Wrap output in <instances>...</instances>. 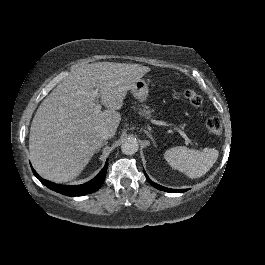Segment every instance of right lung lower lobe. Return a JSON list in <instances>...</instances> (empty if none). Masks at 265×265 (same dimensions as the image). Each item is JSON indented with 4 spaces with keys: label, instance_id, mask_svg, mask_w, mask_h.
Listing matches in <instances>:
<instances>
[{
    "label": "right lung lower lobe",
    "instance_id": "1",
    "mask_svg": "<svg viewBox=\"0 0 265 265\" xmlns=\"http://www.w3.org/2000/svg\"><path fill=\"white\" fill-rule=\"evenodd\" d=\"M107 166H108V161L106 162L104 168L99 172V174L90 180L87 183H84L82 185H60V184H55L53 182L47 181L45 179H42L34 169L33 174L40 180L42 184H44L46 187L49 189L58 192L60 194L66 195V196H83L89 193H92L96 190H98L106 176V171H107Z\"/></svg>",
    "mask_w": 265,
    "mask_h": 265
}]
</instances>
